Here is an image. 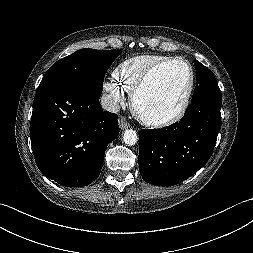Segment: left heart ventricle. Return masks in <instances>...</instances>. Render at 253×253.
<instances>
[{
  "label": "left heart ventricle",
  "mask_w": 253,
  "mask_h": 253,
  "mask_svg": "<svg viewBox=\"0 0 253 253\" xmlns=\"http://www.w3.org/2000/svg\"><path fill=\"white\" fill-rule=\"evenodd\" d=\"M189 85L188 68L180 62L154 73L137 100L139 112L148 118H165L180 107Z\"/></svg>",
  "instance_id": "obj_1"
}]
</instances>
